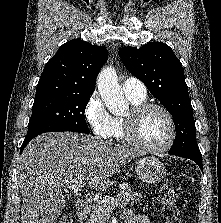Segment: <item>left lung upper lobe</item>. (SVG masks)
<instances>
[{
  "instance_id": "left-lung-upper-lobe-1",
  "label": "left lung upper lobe",
  "mask_w": 221,
  "mask_h": 223,
  "mask_svg": "<svg viewBox=\"0 0 221 223\" xmlns=\"http://www.w3.org/2000/svg\"><path fill=\"white\" fill-rule=\"evenodd\" d=\"M118 53L127 70L173 116L176 137L169 152L200 153L184 70L172 49L162 42H150L139 49L122 47Z\"/></svg>"
}]
</instances>
